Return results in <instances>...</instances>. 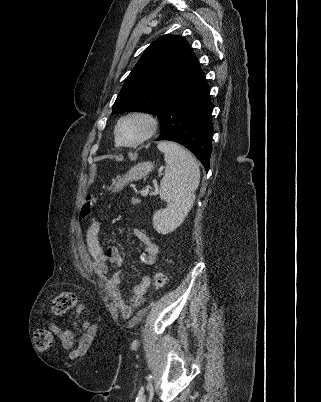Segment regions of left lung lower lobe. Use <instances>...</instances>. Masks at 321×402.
<instances>
[{"label":"left lung lower lobe","mask_w":321,"mask_h":402,"mask_svg":"<svg viewBox=\"0 0 321 402\" xmlns=\"http://www.w3.org/2000/svg\"><path fill=\"white\" fill-rule=\"evenodd\" d=\"M210 89L200 66L182 80L164 100L161 134L158 140H170L188 148L209 170L213 124Z\"/></svg>","instance_id":"0a47b994"}]
</instances>
